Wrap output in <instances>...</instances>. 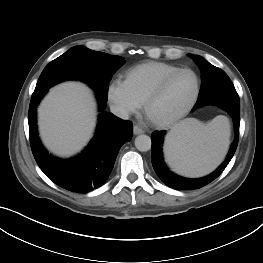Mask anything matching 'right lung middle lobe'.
Listing matches in <instances>:
<instances>
[{"label": "right lung middle lobe", "mask_w": 263, "mask_h": 263, "mask_svg": "<svg viewBox=\"0 0 263 263\" xmlns=\"http://www.w3.org/2000/svg\"><path fill=\"white\" fill-rule=\"evenodd\" d=\"M124 62L120 56L75 46L44 68L33 94L43 93L64 80L76 79L88 83L98 98L106 102L109 81Z\"/></svg>", "instance_id": "dd1d6c3e"}]
</instances>
